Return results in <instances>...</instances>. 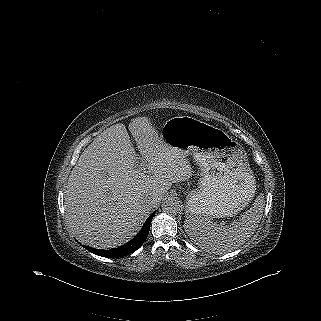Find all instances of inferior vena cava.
<instances>
[{"instance_id": "1", "label": "inferior vena cava", "mask_w": 321, "mask_h": 321, "mask_svg": "<svg viewBox=\"0 0 321 321\" xmlns=\"http://www.w3.org/2000/svg\"><path fill=\"white\" fill-rule=\"evenodd\" d=\"M145 202H146L147 205H149V206H151V205L153 204V200H152L151 197L147 198V199L145 200Z\"/></svg>"}]
</instances>
